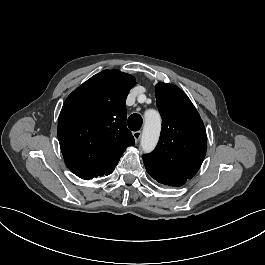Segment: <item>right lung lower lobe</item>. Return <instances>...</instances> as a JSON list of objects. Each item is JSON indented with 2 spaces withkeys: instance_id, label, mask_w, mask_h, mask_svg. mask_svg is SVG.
I'll return each instance as SVG.
<instances>
[{
  "instance_id": "right-lung-lower-lobe-1",
  "label": "right lung lower lobe",
  "mask_w": 265,
  "mask_h": 265,
  "mask_svg": "<svg viewBox=\"0 0 265 265\" xmlns=\"http://www.w3.org/2000/svg\"><path fill=\"white\" fill-rule=\"evenodd\" d=\"M75 175H77L78 177L85 179V180H89L92 179L94 177H98L99 175L94 174L92 172H83V171H72Z\"/></svg>"
}]
</instances>
